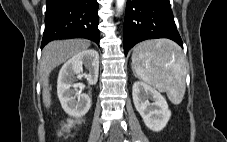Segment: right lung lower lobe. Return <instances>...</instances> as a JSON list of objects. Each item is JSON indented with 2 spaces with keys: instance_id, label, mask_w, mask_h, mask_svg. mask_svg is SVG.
<instances>
[{
  "instance_id": "1",
  "label": "right lung lower lobe",
  "mask_w": 227,
  "mask_h": 142,
  "mask_svg": "<svg viewBox=\"0 0 227 142\" xmlns=\"http://www.w3.org/2000/svg\"><path fill=\"white\" fill-rule=\"evenodd\" d=\"M45 31L41 43L61 38H86L99 45V5L96 0H46Z\"/></svg>"
}]
</instances>
